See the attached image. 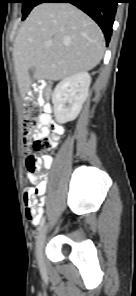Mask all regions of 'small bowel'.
<instances>
[{
    "label": "small bowel",
    "mask_w": 136,
    "mask_h": 296,
    "mask_svg": "<svg viewBox=\"0 0 136 296\" xmlns=\"http://www.w3.org/2000/svg\"><path fill=\"white\" fill-rule=\"evenodd\" d=\"M41 120H42V125L39 127V130L36 134L37 137H44V136H48L49 135V129H48V124L51 122V116L49 113L45 112L42 114L41 116ZM53 138H55V135H53ZM44 162L46 164H48L50 162V158L49 157H46L44 159ZM39 190L42 191L43 188L42 187H39ZM39 215H40V219L37 220V221H33V224L34 225H37L41 220H42V217H43V211L41 209H39Z\"/></svg>",
    "instance_id": "1"
}]
</instances>
